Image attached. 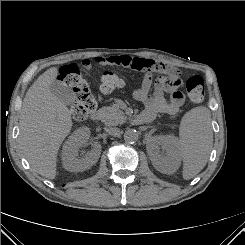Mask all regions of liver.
<instances>
[{
  "mask_svg": "<svg viewBox=\"0 0 245 245\" xmlns=\"http://www.w3.org/2000/svg\"><path fill=\"white\" fill-rule=\"evenodd\" d=\"M58 68L45 71L27 91L19 120V145L41 176L56 177L58 150L72 128L70 110L51 92Z\"/></svg>",
  "mask_w": 245,
  "mask_h": 245,
  "instance_id": "1",
  "label": "liver"
}]
</instances>
